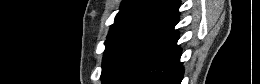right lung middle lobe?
Segmentation results:
<instances>
[{
    "mask_svg": "<svg viewBox=\"0 0 260 84\" xmlns=\"http://www.w3.org/2000/svg\"><path fill=\"white\" fill-rule=\"evenodd\" d=\"M173 28L136 26L108 36L101 80L130 84L175 38Z\"/></svg>",
    "mask_w": 260,
    "mask_h": 84,
    "instance_id": "dd1d6c3e",
    "label": "right lung middle lobe"
}]
</instances>
